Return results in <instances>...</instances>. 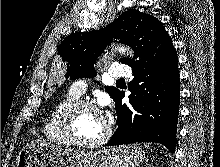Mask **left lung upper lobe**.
<instances>
[{"mask_svg":"<svg viewBox=\"0 0 220 167\" xmlns=\"http://www.w3.org/2000/svg\"><path fill=\"white\" fill-rule=\"evenodd\" d=\"M113 38H120L133 48L135 57H139L137 61L126 58L121 60L130 67L156 60L174 49L170 36L158 19L129 9L105 28L76 32L61 42L58 54L67 62L66 76L71 80L94 77V63ZM105 89L114 101L121 92L111 86Z\"/></svg>","mask_w":220,"mask_h":167,"instance_id":"left-lung-upper-lobe-1","label":"left lung upper lobe"}]
</instances>
